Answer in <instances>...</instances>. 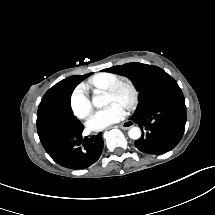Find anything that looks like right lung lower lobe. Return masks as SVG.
I'll return each mask as SVG.
<instances>
[{
    "mask_svg": "<svg viewBox=\"0 0 215 215\" xmlns=\"http://www.w3.org/2000/svg\"><path fill=\"white\" fill-rule=\"evenodd\" d=\"M82 128L47 127L38 131L40 141L59 165L69 169H84L94 164L103 149L101 133L82 137Z\"/></svg>",
    "mask_w": 215,
    "mask_h": 215,
    "instance_id": "98d812e1",
    "label": "right lung lower lobe"
}]
</instances>
